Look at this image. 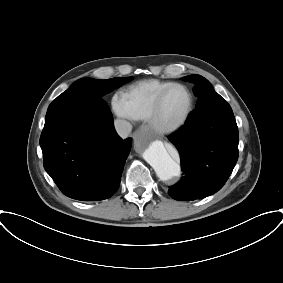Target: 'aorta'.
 Here are the masks:
<instances>
[{
    "label": "aorta",
    "mask_w": 283,
    "mask_h": 283,
    "mask_svg": "<svg viewBox=\"0 0 283 283\" xmlns=\"http://www.w3.org/2000/svg\"><path fill=\"white\" fill-rule=\"evenodd\" d=\"M143 157L162 181H167L181 174L179 164L170 156L161 141L151 142L145 148Z\"/></svg>",
    "instance_id": "aorta-1"
}]
</instances>
